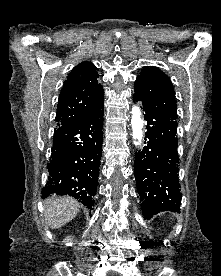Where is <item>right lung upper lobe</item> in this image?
<instances>
[{
  "label": "right lung upper lobe",
  "instance_id": "right-lung-upper-lobe-1",
  "mask_svg": "<svg viewBox=\"0 0 221 276\" xmlns=\"http://www.w3.org/2000/svg\"><path fill=\"white\" fill-rule=\"evenodd\" d=\"M98 76L91 62H82L74 67L60 92L57 128L83 121L104 103V91L98 83Z\"/></svg>",
  "mask_w": 221,
  "mask_h": 276
}]
</instances>
